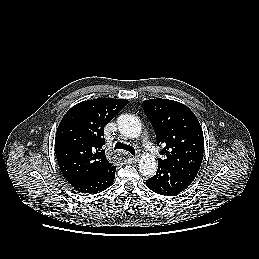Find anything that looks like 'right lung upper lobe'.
I'll return each mask as SVG.
<instances>
[{
	"instance_id": "1",
	"label": "right lung upper lobe",
	"mask_w": 259,
	"mask_h": 259,
	"mask_svg": "<svg viewBox=\"0 0 259 259\" xmlns=\"http://www.w3.org/2000/svg\"><path fill=\"white\" fill-rule=\"evenodd\" d=\"M125 99H93L74 105L62 118L55 153L63 176L71 184L113 166L106 159L104 127L125 106Z\"/></svg>"
}]
</instances>
